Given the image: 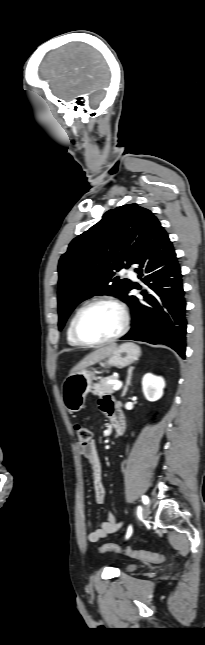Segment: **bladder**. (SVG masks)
Wrapping results in <instances>:
<instances>
[{
	"mask_svg": "<svg viewBox=\"0 0 205 645\" xmlns=\"http://www.w3.org/2000/svg\"><path fill=\"white\" fill-rule=\"evenodd\" d=\"M138 568V565L135 563H128L125 565V570L126 571H134Z\"/></svg>",
	"mask_w": 205,
	"mask_h": 645,
	"instance_id": "31cf9c89",
	"label": "bladder"
}]
</instances>
